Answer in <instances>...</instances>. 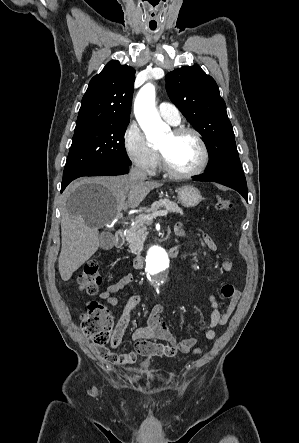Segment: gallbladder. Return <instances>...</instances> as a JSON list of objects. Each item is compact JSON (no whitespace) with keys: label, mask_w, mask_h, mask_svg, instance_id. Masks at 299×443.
<instances>
[{"label":"gallbladder","mask_w":299,"mask_h":443,"mask_svg":"<svg viewBox=\"0 0 299 443\" xmlns=\"http://www.w3.org/2000/svg\"><path fill=\"white\" fill-rule=\"evenodd\" d=\"M100 247L103 250L111 249L114 244V237L110 232H102L99 236Z\"/></svg>","instance_id":"bac80fb5"}]
</instances>
